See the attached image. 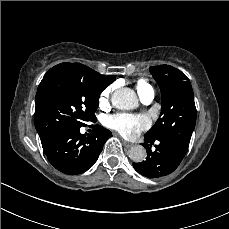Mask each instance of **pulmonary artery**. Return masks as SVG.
<instances>
[{
  "label": "pulmonary artery",
  "instance_id": "e3ab8cb5",
  "mask_svg": "<svg viewBox=\"0 0 229 229\" xmlns=\"http://www.w3.org/2000/svg\"><path fill=\"white\" fill-rule=\"evenodd\" d=\"M153 99H154V92H149V93L141 96L142 102L146 105L152 103Z\"/></svg>",
  "mask_w": 229,
  "mask_h": 229
}]
</instances>
